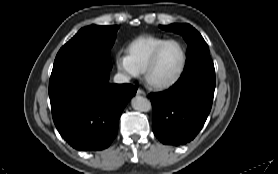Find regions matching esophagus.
I'll use <instances>...</instances> for the list:
<instances>
[{
  "label": "esophagus",
  "mask_w": 278,
  "mask_h": 174,
  "mask_svg": "<svg viewBox=\"0 0 278 174\" xmlns=\"http://www.w3.org/2000/svg\"><path fill=\"white\" fill-rule=\"evenodd\" d=\"M137 94H138V95L145 96V95H146V92H145L143 89H140V88H139V89L137 90Z\"/></svg>",
  "instance_id": "obj_1"
}]
</instances>
